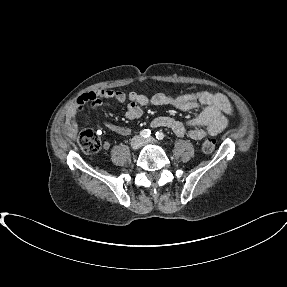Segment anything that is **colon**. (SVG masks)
<instances>
[{
  "label": "colon",
  "instance_id": "5ec220e1",
  "mask_svg": "<svg viewBox=\"0 0 287 287\" xmlns=\"http://www.w3.org/2000/svg\"><path fill=\"white\" fill-rule=\"evenodd\" d=\"M79 146L87 153H95L101 147V141L99 136L91 130L81 132L77 137ZM216 141L213 138L207 139L203 143V151L211 153L215 149Z\"/></svg>",
  "mask_w": 287,
  "mask_h": 287
}]
</instances>
